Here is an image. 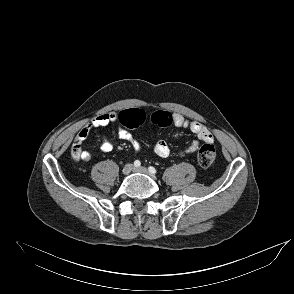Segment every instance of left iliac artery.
I'll use <instances>...</instances> for the list:
<instances>
[{
    "label": "left iliac artery",
    "instance_id": "left-iliac-artery-1",
    "mask_svg": "<svg viewBox=\"0 0 294 294\" xmlns=\"http://www.w3.org/2000/svg\"><path fill=\"white\" fill-rule=\"evenodd\" d=\"M149 172L155 174L157 172V170L154 167L150 166Z\"/></svg>",
    "mask_w": 294,
    "mask_h": 294
}]
</instances>
